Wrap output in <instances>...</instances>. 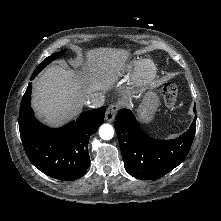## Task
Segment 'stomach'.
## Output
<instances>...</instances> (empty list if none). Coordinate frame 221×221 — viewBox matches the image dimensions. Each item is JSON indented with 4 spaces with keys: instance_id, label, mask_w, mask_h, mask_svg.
I'll return each instance as SVG.
<instances>
[{
    "instance_id": "1",
    "label": "stomach",
    "mask_w": 221,
    "mask_h": 221,
    "mask_svg": "<svg viewBox=\"0 0 221 221\" xmlns=\"http://www.w3.org/2000/svg\"><path fill=\"white\" fill-rule=\"evenodd\" d=\"M159 105V98L155 91L148 90L142 100V103L138 109V115L141 121L149 122Z\"/></svg>"
}]
</instances>
